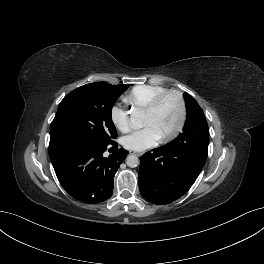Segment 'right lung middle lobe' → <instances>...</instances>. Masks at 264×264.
Segmentation results:
<instances>
[{
  "instance_id": "right-lung-middle-lobe-1",
  "label": "right lung middle lobe",
  "mask_w": 264,
  "mask_h": 264,
  "mask_svg": "<svg viewBox=\"0 0 264 264\" xmlns=\"http://www.w3.org/2000/svg\"><path fill=\"white\" fill-rule=\"evenodd\" d=\"M129 85L94 82L70 92L51 123L50 145L68 139L109 144L117 137L111 111Z\"/></svg>"
}]
</instances>
